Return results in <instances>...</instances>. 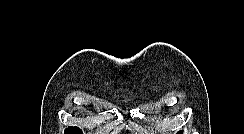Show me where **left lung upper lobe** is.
<instances>
[{"instance_id":"obj_1","label":"left lung upper lobe","mask_w":244,"mask_h":134,"mask_svg":"<svg viewBox=\"0 0 244 134\" xmlns=\"http://www.w3.org/2000/svg\"><path fill=\"white\" fill-rule=\"evenodd\" d=\"M181 133H182V131L178 132V134H181Z\"/></svg>"}]
</instances>
